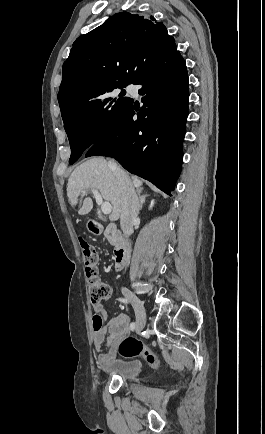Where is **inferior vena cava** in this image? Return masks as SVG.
<instances>
[{"instance_id": "obj_1", "label": "inferior vena cava", "mask_w": 265, "mask_h": 434, "mask_svg": "<svg viewBox=\"0 0 265 434\" xmlns=\"http://www.w3.org/2000/svg\"><path fill=\"white\" fill-rule=\"evenodd\" d=\"M110 168L115 170V176L119 184V192H121L122 198V208L120 214V226L121 230L128 238L133 230V224L137 220L139 214V200L138 196L129 180L128 176H125L124 172L120 170L119 166L115 162H109Z\"/></svg>"}]
</instances>
